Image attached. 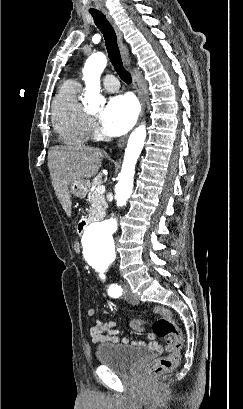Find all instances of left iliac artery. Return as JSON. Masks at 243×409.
Returning a JSON list of instances; mask_svg holds the SVG:
<instances>
[{
	"label": "left iliac artery",
	"instance_id": "44dca946",
	"mask_svg": "<svg viewBox=\"0 0 243 409\" xmlns=\"http://www.w3.org/2000/svg\"><path fill=\"white\" fill-rule=\"evenodd\" d=\"M101 278L104 279L105 276L102 274ZM108 294L111 297H119L122 294V289L119 285L117 284H111L108 288Z\"/></svg>",
	"mask_w": 243,
	"mask_h": 409
}]
</instances>
